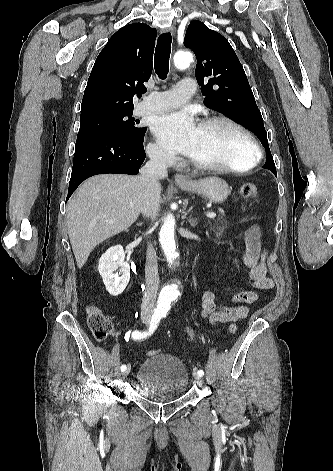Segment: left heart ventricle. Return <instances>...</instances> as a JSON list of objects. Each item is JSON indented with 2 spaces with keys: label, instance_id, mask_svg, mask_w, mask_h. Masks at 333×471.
I'll return each mask as SVG.
<instances>
[{
  "label": "left heart ventricle",
  "instance_id": "left-heart-ventricle-1",
  "mask_svg": "<svg viewBox=\"0 0 333 471\" xmlns=\"http://www.w3.org/2000/svg\"><path fill=\"white\" fill-rule=\"evenodd\" d=\"M190 157L203 163L243 167L251 161L253 151L239 131L217 123L198 127Z\"/></svg>",
  "mask_w": 333,
  "mask_h": 471
}]
</instances>
